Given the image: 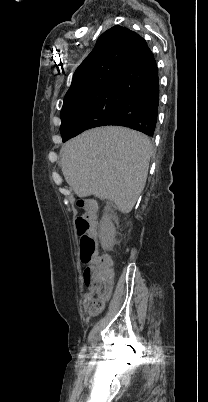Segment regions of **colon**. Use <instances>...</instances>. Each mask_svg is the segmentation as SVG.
Listing matches in <instances>:
<instances>
[{"label": "colon", "mask_w": 208, "mask_h": 402, "mask_svg": "<svg viewBox=\"0 0 208 402\" xmlns=\"http://www.w3.org/2000/svg\"><path fill=\"white\" fill-rule=\"evenodd\" d=\"M92 226V218L85 214L76 220V227L80 239L78 254L82 256L81 263L87 265L83 274L90 292L84 295V308L88 314H99L100 308H105L108 295L112 294L111 280L114 267L110 256H99L95 240L100 239V234L89 232Z\"/></svg>", "instance_id": "5ec220e1"}]
</instances>
